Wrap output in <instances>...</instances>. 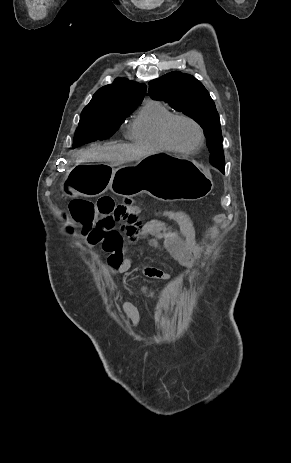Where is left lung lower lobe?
Listing matches in <instances>:
<instances>
[{
	"label": "left lung lower lobe",
	"mask_w": 291,
	"mask_h": 463,
	"mask_svg": "<svg viewBox=\"0 0 291 463\" xmlns=\"http://www.w3.org/2000/svg\"><path fill=\"white\" fill-rule=\"evenodd\" d=\"M220 171L224 173V169H221Z\"/></svg>",
	"instance_id": "1"
}]
</instances>
